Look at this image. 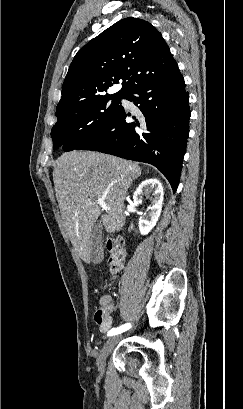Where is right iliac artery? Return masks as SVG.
<instances>
[{
	"instance_id": "right-iliac-artery-1",
	"label": "right iliac artery",
	"mask_w": 243,
	"mask_h": 409,
	"mask_svg": "<svg viewBox=\"0 0 243 409\" xmlns=\"http://www.w3.org/2000/svg\"><path fill=\"white\" fill-rule=\"evenodd\" d=\"M130 328H131V324H130V323L121 325V326H119V327H117V328H112V329L108 332V336L117 335V334H119V333H122V332H124V331L130 329Z\"/></svg>"
}]
</instances>
